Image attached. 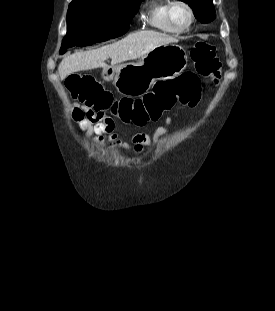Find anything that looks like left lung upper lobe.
Instances as JSON below:
<instances>
[{"label":"left lung upper lobe","instance_id":"1","mask_svg":"<svg viewBox=\"0 0 275 311\" xmlns=\"http://www.w3.org/2000/svg\"><path fill=\"white\" fill-rule=\"evenodd\" d=\"M187 3L194 11V15L201 23H208L215 18V9L212 0H181Z\"/></svg>","mask_w":275,"mask_h":311}]
</instances>
